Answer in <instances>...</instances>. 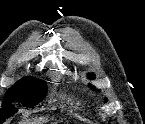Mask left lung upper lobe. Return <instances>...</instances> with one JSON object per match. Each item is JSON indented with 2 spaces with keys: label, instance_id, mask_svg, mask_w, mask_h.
I'll return each instance as SVG.
<instances>
[{
  "label": "left lung upper lobe",
  "instance_id": "5c2ea615",
  "mask_svg": "<svg viewBox=\"0 0 145 124\" xmlns=\"http://www.w3.org/2000/svg\"><path fill=\"white\" fill-rule=\"evenodd\" d=\"M88 76L90 79H94V74H89ZM92 89H94V88H92Z\"/></svg>",
  "mask_w": 145,
  "mask_h": 124
}]
</instances>
